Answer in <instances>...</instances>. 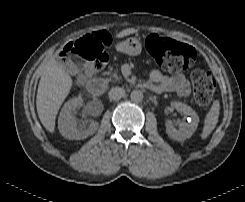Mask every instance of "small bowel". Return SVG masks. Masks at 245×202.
I'll return each instance as SVG.
<instances>
[{"label": "small bowel", "instance_id": "c3829d8e", "mask_svg": "<svg viewBox=\"0 0 245 202\" xmlns=\"http://www.w3.org/2000/svg\"><path fill=\"white\" fill-rule=\"evenodd\" d=\"M147 82L154 86L158 93L174 92L181 97H186L191 92L190 83L183 74L168 76L158 70H151L148 72Z\"/></svg>", "mask_w": 245, "mask_h": 202}]
</instances>
